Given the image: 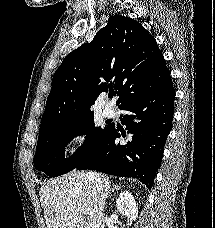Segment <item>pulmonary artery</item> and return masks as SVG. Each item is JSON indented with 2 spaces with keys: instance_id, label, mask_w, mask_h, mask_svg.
<instances>
[{
  "instance_id": "obj_1",
  "label": "pulmonary artery",
  "mask_w": 215,
  "mask_h": 228,
  "mask_svg": "<svg viewBox=\"0 0 215 228\" xmlns=\"http://www.w3.org/2000/svg\"><path fill=\"white\" fill-rule=\"evenodd\" d=\"M103 113L106 117H112L115 113V109L113 107L112 101L108 98L106 100V105L104 107Z\"/></svg>"
}]
</instances>
